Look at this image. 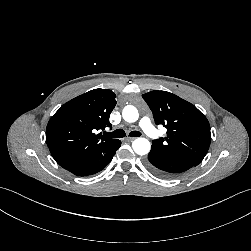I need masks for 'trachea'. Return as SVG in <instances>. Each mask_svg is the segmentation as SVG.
Listing matches in <instances>:
<instances>
[{"label":"trachea","instance_id":"3493384b","mask_svg":"<svg viewBox=\"0 0 251 251\" xmlns=\"http://www.w3.org/2000/svg\"><path fill=\"white\" fill-rule=\"evenodd\" d=\"M125 135L126 134H125L124 130H122V129H117L111 133H107V132L105 133L106 137H112V138H122V137H125ZM129 136L139 137V136H141V133L139 131H131Z\"/></svg>","mask_w":251,"mask_h":251}]
</instances>
